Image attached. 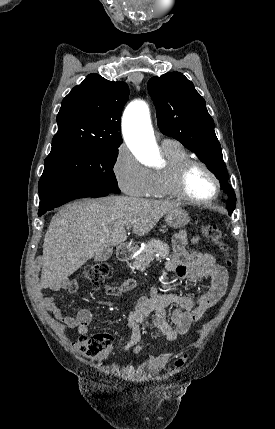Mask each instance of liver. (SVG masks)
Listing matches in <instances>:
<instances>
[{"instance_id": "liver-1", "label": "liver", "mask_w": 275, "mask_h": 429, "mask_svg": "<svg viewBox=\"0 0 275 429\" xmlns=\"http://www.w3.org/2000/svg\"><path fill=\"white\" fill-rule=\"evenodd\" d=\"M180 205L128 196L83 199L62 207L52 218L43 243L41 288L56 289L104 248L151 231L167 212Z\"/></svg>"}]
</instances>
